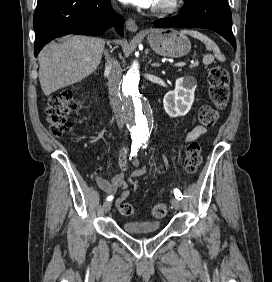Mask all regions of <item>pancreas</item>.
<instances>
[{"mask_svg":"<svg viewBox=\"0 0 272 282\" xmlns=\"http://www.w3.org/2000/svg\"><path fill=\"white\" fill-rule=\"evenodd\" d=\"M197 66H198V62H195V63H193V64L190 65L191 68H195V67H197Z\"/></svg>","mask_w":272,"mask_h":282,"instance_id":"cf45deb5","label":"pancreas"}]
</instances>
